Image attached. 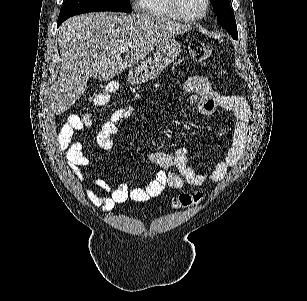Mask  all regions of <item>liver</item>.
<instances>
[{
	"label": "liver",
	"instance_id": "obj_1",
	"mask_svg": "<svg viewBox=\"0 0 307 301\" xmlns=\"http://www.w3.org/2000/svg\"><path fill=\"white\" fill-rule=\"evenodd\" d=\"M188 30H192L191 24L154 14L89 12L71 16L57 32L61 66L52 102L55 114L68 110L84 94L90 76L110 80L138 64L163 40ZM121 46H129L124 58Z\"/></svg>",
	"mask_w": 307,
	"mask_h": 301
}]
</instances>
